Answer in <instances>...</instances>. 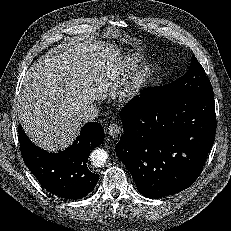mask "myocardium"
I'll list each match as a JSON object with an SVG mask.
<instances>
[{"label": "myocardium", "instance_id": "obj_1", "mask_svg": "<svg viewBox=\"0 0 231 231\" xmlns=\"http://www.w3.org/2000/svg\"><path fill=\"white\" fill-rule=\"evenodd\" d=\"M149 77V70L146 67L136 69L127 83L122 87L119 96L126 99L132 97L142 86L145 85Z\"/></svg>", "mask_w": 231, "mask_h": 231}]
</instances>
